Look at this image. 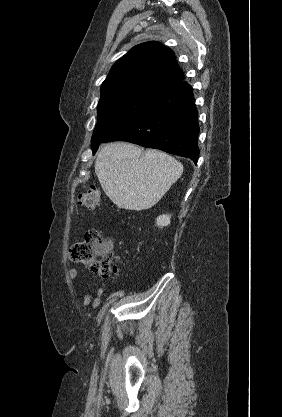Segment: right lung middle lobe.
<instances>
[{
	"label": "right lung middle lobe",
	"mask_w": 282,
	"mask_h": 417,
	"mask_svg": "<svg viewBox=\"0 0 282 417\" xmlns=\"http://www.w3.org/2000/svg\"><path fill=\"white\" fill-rule=\"evenodd\" d=\"M159 93L127 90L101 94L97 107L98 122L91 139L95 152L100 143L112 132L123 126L144 107L151 103Z\"/></svg>",
	"instance_id": "1"
}]
</instances>
